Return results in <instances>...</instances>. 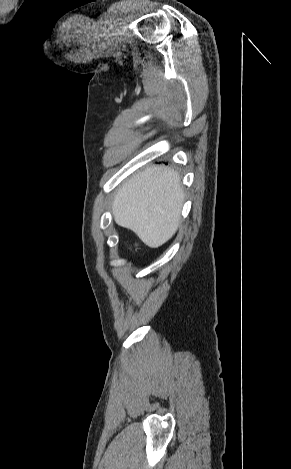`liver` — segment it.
Returning <instances> with one entry per match:
<instances>
[{
	"label": "liver",
	"instance_id": "6515ba94",
	"mask_svg": "<svg viewBox=\"0 0 291 469\" xmlns=\"http://www.w3.org/2000/svg\"><path fill=\"white\" fill-rule=\"evenodd\" d=\"M184 192L177 172L153 166L138 172L118 190L112 206L116 224L158 248L177 231Z\"/></svg>",
	"mask_w": 291,
	"mask_h": 469
}]
</instances>
